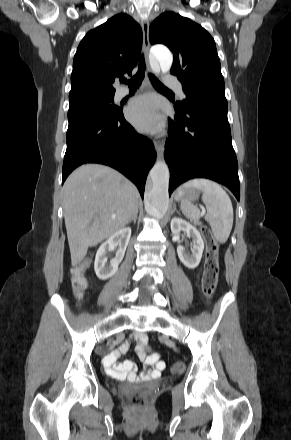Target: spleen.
Instances as JSON below:
<instances>
[{"label": "spleen", "instance_id": "spleen-1", "mask_svg": "<svg viewBox=\"0 0 291 440\" xmlns=\"http://www.w3.org/2000/svg\"><path fill=\"white\" fill-rule=\"evenodd\" d=\"M191 187L203 191L202 201L207 209L205 220L209 223L217 241L225 243L233 225V207L230 197L218 183L209 179L195 178L184 185V188ZM181 210L187 218L193 221L201 217L200 210L188 201H181Z\"/></svg>", "mask_w": 291, "mask_h": 440}]
</instances>
